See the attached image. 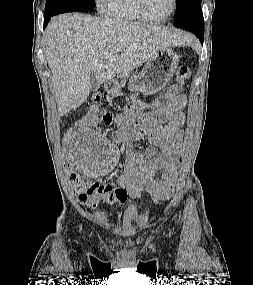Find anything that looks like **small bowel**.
Returning a JSON list of instances; mask_svg holds the SVG:
<instances>
[{
    "mask_svg": "<svg viewBox=\"0 0 253 285\" xmlns=\"http://www.w3.org/2000/svg\"><path fill=\"white\" fill-rule=\"evenodd\" d=\"M185 105L186 96L171 86L152 104L134 96L132 104L120 117L113 109L100 110L99 122H104V126H118L113 137L125 151V162L117 183L126 188L133 199L139 200L146 194L164 201L174 193ZM121 118L131 121L127 125L117 124ZM141 141L151 145L144 153L138 152L134 146ZM157 173L161 174L160 178H156Z\"/></svg>",
    "mask_w": 253,
    "mask_h": 285,
    "instance_id": "1",
    "label": "small bowel"
}]
</instances>
